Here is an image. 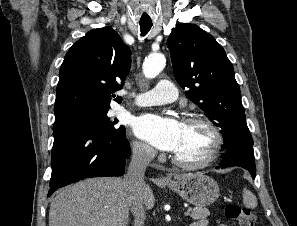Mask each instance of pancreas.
Masks as SVG:
<instances>
[{"instance_id": "obj_1", "label": "pancreas", "mask_w": 297, "mask_h": 226, "mask_svg": "<svg viewBox=\"0 0 297 226\" xmlns=\"http://www.w3.org/2000/svg\"><path fill=\"white\" fill-rule=\"evenodd\" d=\"M189 211V216L194 220H203L210 215L209 210L203 207L189 208Z\"/></svg>"}]
</instances>
